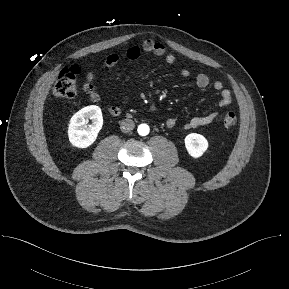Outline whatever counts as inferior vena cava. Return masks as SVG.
<instances>
[{"label": "inferior vena cava", "instance_id": "602c4592", "mask_svg": "<svg viewBox=\"0 0 289 289\" xmlns=\"http://www.w3.org/2000/svg\"><path fill=\"white\" fill-rule=\"evenodd\" d=\"M134 127H135V124L131 119H124L120 123V129L124 133L132 131Z\"/></svg>", "mask_w": 289, "mask_h": 289}]
</instances>
